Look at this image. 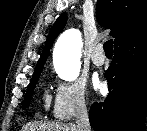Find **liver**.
<instances>
[{
    "label": "liver",
    "instance_id": "obj_1",
    "mask_svg": "<svg viewBox=\"0 0 147 131\" xmlns=\"http://www.w3.org/2000/svg\"><path fill=\"white\" fill-rule=\"evenodd\" d=\"M22 131H78L75 124L30 122L22 127Z\"/></svg>",
    "mask_w": 147,
    "mask_h": 131
}]
</instances>
